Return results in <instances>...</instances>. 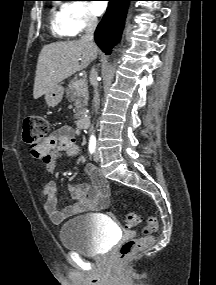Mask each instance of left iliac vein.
I'll return each instance as SVG.
<instances>
[{
  "instance_id": "left-iliac-vein-1",
  "label": "left iliac vein",
  "mask_w": 216,
  "mask_h": 285,
  "mask_svg": "<svg viewBox=\"0 0 216 285\" xmlns=\"http://www.w3.org/2000/svg\"><path fill=\"white\" fill-rule=\"evenodd\" d=\"M94 161L95 162H99V160H100V153H99V150L98 149H96L95 150V153H94Z\"/></svg>"
}]
</instances>
